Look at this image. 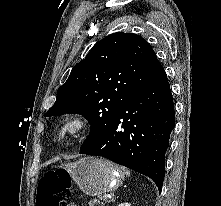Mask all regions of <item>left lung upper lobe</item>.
Listing matches in <instances>:
<instances>
[{"label": "left lung upper lobe", "instance_id": "obj_1", "mask_svg": "<svg viewBox=\"0 0 221 206\" xmlns=\"http://www.w3.org/2000/svg\"><path fill=\"white\" fill-rule=\"evenodd\" d=\"M164 73L143 38L121 32L111 34L73 67L46 116L73 111L88 119L91 131L81 150L98 140L130 99Z\"/></svg>", "mask_w": 221, "mask_h": 206}]
</instances>
